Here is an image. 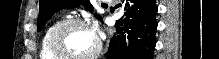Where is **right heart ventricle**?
Returning <instances> with one entry per match:
<instances>
[{
  "instance_id": "right-heart-ventricle-1",
  "label": "right heart ventricle",
  "mask_w": 219,
  "mask_h": 59,
  "mask_svg": "<svg viewBox=\"0 0 219 59\" xmlns=\"http://www.w3.org/2000/svg\"><path fill=\"white\" fill-rule=\"evenodd\" d=\"M61 22L60 20L52 22L44 31L39 45V58L40 59H59L50 50V36L56 25Z\"/></svg>"
}]
</instances>
